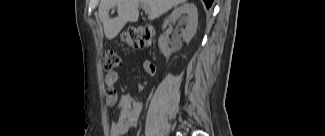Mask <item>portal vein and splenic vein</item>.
Here are the masks:
<instances>
[{
	"label": "portal vein and splenic vein",
	"instance_id": "obj_1",
	"mask_svg": "<svg viewBox=\"0 0 325 136\" xmlns=\"http://www.w3.org/2000/svg\"><path fill=\"white\" fill-rule=\"evenodd\" d=\"M143 10H144L145 12H148V11H149L147 5H145V4L143 5Z\"/></svg>",
	"mask_w": 325,
	"mask_h": 136
}]
</instances>
